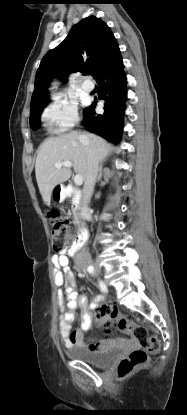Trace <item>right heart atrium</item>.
Returning <instances> with one entry per match:
<instances>
[{
  "label": "right heart atrium",
  "mask_w": 187,
  "mask_h": 415,
  "mask_svg": "<svg viewBox=\"0 0 187 415\" xmlns=\"http://www.w3.org/2000/svg\"><path fill=\"white\" fill-rule=\"evenodd\" d=\"M41 120L53 133L69 131L79 121L77 107L66 100L54 102L43 110Z\"/></svg>",
  "instance_id": "right-heart-atrium-1"
}]
</instances>
